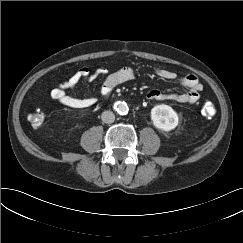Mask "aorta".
Segmentation results:
<instances>
[{"mask_svg":"<svg viewBox=\"0 0 243 243\" xmlns=\"http://www.w3.org/2000/svg\"><path fill=\"white\" fill-rule=\"evenodd\" d=\"M115 110L119 115H126L129 111V107L126 102H119L116 104Z\"/></svg>","mask_w":243,"mask_h":243,"instance_id":"762f6f07","label":"aorta"}]
</instances>
